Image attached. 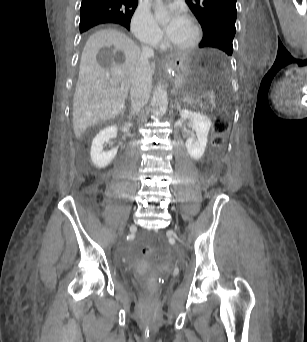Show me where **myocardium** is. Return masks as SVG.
<instances>
[{"label":"myocardium","mask_w":307,"mask_h":342,"mask_svg":"<svg viewBox=\"0 0 307 342\" xmlns=\"http://www.w3.org/2000/svg\"><path fill=\"white\" fill-rule=\"evenodd\" d=\"M188 26L190 27V30L192 32V38L190 42L183 48L180 49H173L176 53H188L194 50L201 42L202 40V31L198 24L194 20H188L187 21ZM171 48L170 46L167 47V49ZM172 49V48H171Z\"/></svg>","instance_id":"myocardium-1"}]
</instances>
